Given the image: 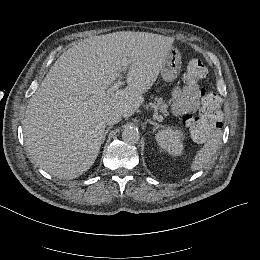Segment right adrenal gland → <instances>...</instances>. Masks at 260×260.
I'll return each mask as SVG.
<instances>
[{"label": "right adrenal gland", "instance_id": "2a0ac1e0", "mask_svg": "<svg viewBox=\"0 0 260 260\" xmlns=\"http://www.w3.org/2000/svg\"><path fill=\"white\" fill-rule=\"evenodd\" d=\"M111 128H112V126H109V127L105 130V135L110 131Z\"/></svg>", "mask_w": 260, "mask_h": 260}]
</instances>
